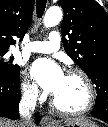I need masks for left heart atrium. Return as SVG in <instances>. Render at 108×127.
<instances>
[{"label":"left heart atrium","mask_w":108,"mask_h":127,"mask_svg":"<svg viewBox=\"0 0 108 127\" xmlns=\"http://www.w3.org/2000/svg\"><path fill=\"white\" fill-rule=\"evenodd\" d=\"M31 74L48 93L52 94L59 89L65 76L57 64L44 59L34 62Z\"/></svg>","instance_id":"left-heart-atrium-1"}]
</instances>
